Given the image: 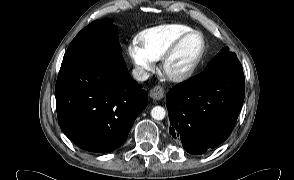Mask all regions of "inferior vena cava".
Returning <instances> with one entry per match:
<instances>
[{"instance_id": "602c4592", "label": "inferior vena cava", "mask_w": 294, "mask_h": 180, "mask_svg": "<svg viewBox=\"0 0 294 180\" xmlns=\"http://www.w3.org/2000/svg\"><path fill=\"white\" fill-rule=\"evenodd\" d=\"M133 78L137 81H146L149 78V73L141 67H136L132 71Z\"/></svg>"}]
</instances>
